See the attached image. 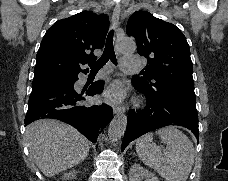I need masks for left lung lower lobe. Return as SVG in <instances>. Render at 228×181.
<instances>
[{
  "instance_id": "obj_1",
  "label": "left lung lower lobe",
  "mask_w": 228,
  "mask_h": 181,
  "mask_svg": "<svg viewBox=\"0 0 228 181\" xmlns=\"http://www.w3.org/2000/svg\"><path fill=\"white\" fill-rule=\"evenodd\" d=\"M135 88L147 98L142 111L130 110L122 151L134 139L143 134L169 125L190 129L199 139L196 100L190 96L171 94L165 89H144L133 83Z\"/></svg>"
}]
</instances>
